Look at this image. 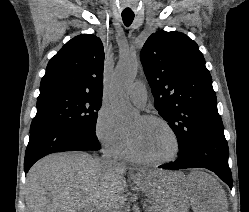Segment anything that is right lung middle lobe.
Listing matches in <instances>:
<instances>
[{"mask_svg": "<svg viewBox=\"0 0 249 212\" xmlns=\"http://www.w3.org/2000/svg\"><path fill=\"white\" fill-rule=\"evenodd\" d=\"M102 98L80 93H50L37 101V114L30 133L47 127H70L96 135V121Z\"/></svg>", "mask_w": 249, "mask_h": 212, "instance_id": "obj_1", "label": "right lung middle lobe"}]
</instances>
